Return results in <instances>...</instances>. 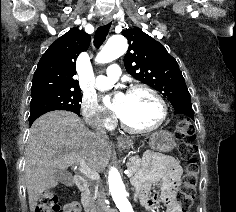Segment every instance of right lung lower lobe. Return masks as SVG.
Listing matches in <instances>:
<instances>
[{"mask_svg": "<svg viewBox=\"0 0 236 212\" xmlns=\"http://www.w3.org/2000/svg\"><path fill=\"white\" fill-rule=\"evenodd\" d=\"M44 113L37 114L35 116L29 117V124L31 125L39 116H41Z\"/></svg>", "mask_w": 236, "mask_h": 212, "instance_id": "98d812e1", "label": "right lung lower lobe"}]
</instances>
